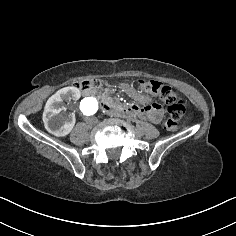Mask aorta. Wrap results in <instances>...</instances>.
<instances>
[{"instance_id":"762f6f07","label":"aorta","mask_w":236,"mask_h":236,"mask_svg":"<svg viewBox=\"0 0 236 236\" xmlns=\"http://www.w3.org/2000/svg\"><path fill=\"white\" fill-rule=\"evenodd\" d=\"M98 109L99 103L95 97H86L80 103V112L84 118L94 116Z\"/></svg>"}]
</instances>
